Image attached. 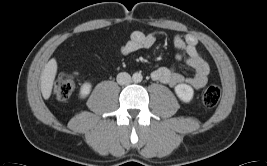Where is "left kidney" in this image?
I'll return each mask as SVG.
<instances>
[{"mask_svg":"<svg viewBox=\"0 0 267 166\" xmlns=\"http://www.w3.org/2000/svg\"><path fill=\"white\" fill-rule=\"evenodd\" d=\"M175 93L183 102L187 103L193 99L194 90L187 84H178L175 87Z\"/></svg>","mask_w":267,"mask_h":166,"instance_id":"5707ae66","label":"left kidney"}]
</instances>
